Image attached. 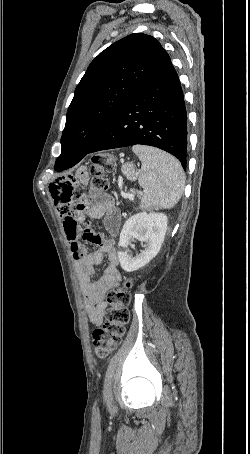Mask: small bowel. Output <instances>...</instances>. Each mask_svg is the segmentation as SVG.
I'll return each mask as SVG.
<instances>
[{"mask_svg":"<svg viewBox=\"0 0 250 454\" xmlns=\"http://www.w3.org/2000/svg\"><path fill=\"white\" fill-rule=\"evenodd\" d=\"M87 181L88 177L83 172L72 178L60 177L50 185V193L70 243L77 277L84 292L89 321L92 325L99 326L107 309L105 294L115 288L121 278L115 245L121 214L113 198L108 194L96 198L76 195V189L85 185ZM86 218L102 219L110 237L105 238L89 229H83L82 223ZM81 239L97 245V249L87 250ZM104 256L107 257V268L102 276L94 278V268L102 262Z\"/></svg>","mask_w":250,"mask_h":454,"instance_id":"obj_1","label":"small bowel"}]
</instances>
